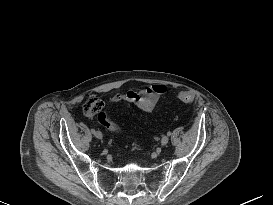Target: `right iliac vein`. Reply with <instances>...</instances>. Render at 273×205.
<instances>
[{"instance_id": "63e3f726", "label": "right iliac vein", "mask_w": 273, "mask_h": 205, "mask_svg": "<svg viewBox=\"0 0 273 205\" xmlns=\"http://www.w3.org/2000/svg\"><path fill=\"white\" fill-rule=\"evenodd\" d=\"M94 136L98 139H102V133L100 131H95Z\"/></svg>"}]
</instances>
